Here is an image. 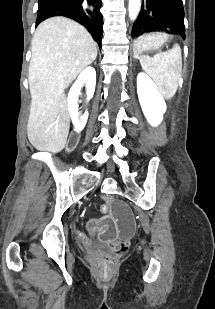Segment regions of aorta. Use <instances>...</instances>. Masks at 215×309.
I'll return each instance as SVG.
<instances>
[{
    "instance_id": "aorta-1",
    "label": "aorta",
    "mask_w": 215,
    "mask_h": 309,
    "mask_svg": "<svg viewBox=\"0 0 215 309\" xmlns=\"http://www.w3.org/2000/svg\"><path fill=\"white\" fill-rule=\"evenodd\" d=\"M141 8V0H129V18L130 20H135L139 14Z\"/></svg>"
}]
</instances>
